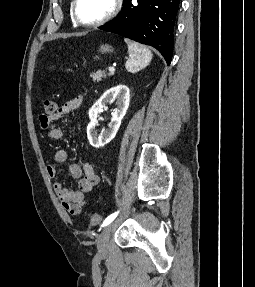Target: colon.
Here are the masks:
<instances>
[{"instance_id":"1","label":"colon","mask_w":255,"mask_h":287,"mask_svg":"<svg viewBox=\"0 0 255 287\" xmlns=\"http://www.w3.org/2000/svg\"><path fill=\"white\" fill-rule=\"evenodd\" d=\"M43 107L45 112L49 115L53 114L56 111V103L49 98L43 99ZM87 218L92 225H98L102 221V216L99 214L90 213L87 215Z\"/></svg>"}]
</instances>
